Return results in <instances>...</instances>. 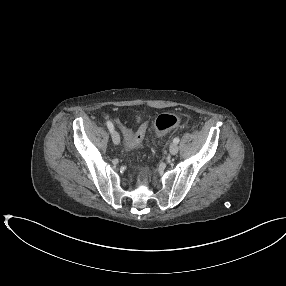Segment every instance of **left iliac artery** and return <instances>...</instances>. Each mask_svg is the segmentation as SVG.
<instances>
[{"label":"left iliac artery","mask_w":286,"mask_h":286,"mask_svg":"<svg viewBox=\"0 0 286 286\" xmlns=\"http://www.w3.org/2000/svg\"><path fill=\"white\" fill-rule=\"evenodd\" d=\"M179 141H180L179 137H176V138H174V140H173V142H174L175 144H178Z\"/></svg>","instance_id":"left-iliac-artery-1"}]
</instances>
